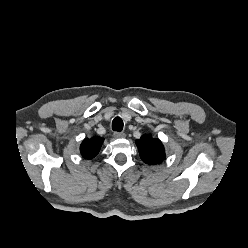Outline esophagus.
I'll return each instance as SVG.
<instances>
[{
	"instance_id": "obj_1",
	"label": "esophagus",
	"mask_w": 248,
	"mask_h": 248,
	"mask_svg": "<svg viewBox=\"0 0 248 248\" xmlns=\"http://www.w3.org/2000/svg\"><path fill=\"white\" fill-rule=\"evenodd\" d=\"M126 134L124 132H115L114 137L115 138H124Z\"/></svg>"
}]
</instances>
